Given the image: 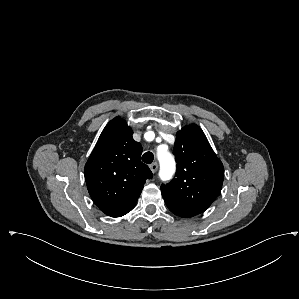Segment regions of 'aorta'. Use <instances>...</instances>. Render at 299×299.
Segmentation results:
<instances>
[{"instance_id":"obj_1","label":"aorta","mask_w":299,"mask_h":299,"mask_svg":"<svg viewBox=\"0 0 299 299\" xmlns=\"http://www.w3.org/2000/svg\"><path fill=\"white\" fill-rule=\"evenodd\" d=\"M158 160L160 163V178L168 180L175 171V161L172 155L168 152H159Z\"/></svg>"}]
</instances>
